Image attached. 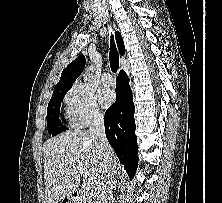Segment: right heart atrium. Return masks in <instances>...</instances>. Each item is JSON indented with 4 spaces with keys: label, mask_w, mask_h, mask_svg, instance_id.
Returning a JSON list of instances; mask_svg holds the SVG:
<instances>
[{
    "label": "right heart atrium",
    "mask_w": 222,
    "mask_h": 203,
    "mask_svg": "<svg viewBox=\"0 0 222 203\" xmlns=\"http://www.w3.org/2000/svg\"><path fill=\"white\" fill-rule=\"evenodd\" d=\"M65 102L69 118L75 127L82 128L102 118L94 93L81 84L71 88Z\"/></svg>",
    "instance_id": "1"
}]
</instances>
